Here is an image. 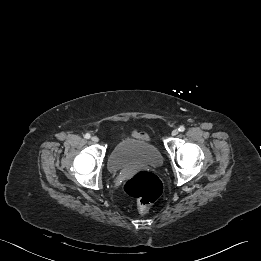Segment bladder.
Here are the masks:
<instances>
[{
    "mask_svg": "<svg viewBox=\"0 0 261 261\" xmlns=\"http://www.w3.org/2000/svg\"><path fill=\"white\" fill-rule=\"evenodd\" d=\"M162 155L158 148L144 140L127 138L119 142L110 151L107 166L115 173L126 167H159Z\"/></svg>",
    "mask_w": 261,
    "mask_h": 261,
    "instance_id": "1",
    "label": "bladder"
}]
</instances>
